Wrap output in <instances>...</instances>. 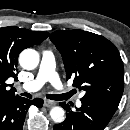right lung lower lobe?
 Listing matches in <instances>:
<instances>
[{"label": "right lung lower lobe", "instance_id": "right-lung-lower-lobe-1", "mask_svg": "<svg viewBox=\"0 0 130 130\" xmlns=\"http://www.w3.org/2000/svg\"><path fill=\"white\" fill-rule=\"evenodd\" d=\"M31 105L41 108L43 100H28L18 95L0 97V130H22Z\"/></svg>", "mask_w": 130, "mask_h": 130}]
</instances>
